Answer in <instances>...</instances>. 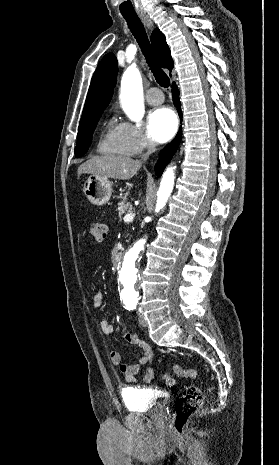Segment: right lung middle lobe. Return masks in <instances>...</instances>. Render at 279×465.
<instances>
[{
	"label": "right lung middle lobe",
	"instance_id": "obj_1",
	"mask_svg": "<svg viewBox=\"0 0 279 465\" xmlns=\"http://www.w3.org/2000/svg\"><path fill=\"white\" fill-rule=\"evenodd\" d=\"M101 114L102 113H100L97 117H95L87 125L79 127L78 140H77V144H76V148H75L76 157H81L87 152V150H88V148L90 146L91 140H92L93 131H94L96 125H97V122H98Z\"/></svg>",
	"mask_w": 279,
	"mask_h": 465
}]
</instances>
